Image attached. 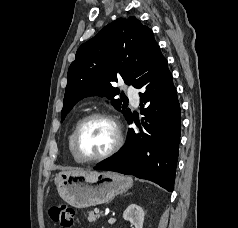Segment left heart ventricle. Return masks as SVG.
<instances>
[{
    "mask_svg": "<svg viewBox=\"0 0 238 228\" xmlns=\"http://www.w3.org/2000/svg\"><path fill=\"white\" fill-rule=\"evenodd\" d=\"M115 142L113 125L104 119H94L82 130L78 151L82 157L92 158L108 151Z\"/></svg>",
    "mask_w": 238,
    "mask_h": 228,
    "instance_id": "b2bd125f",
    "label": "left heart ventricle"
}]
</instances>
